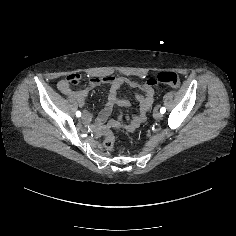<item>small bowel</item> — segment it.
<instances>
[{
    "instance_id": "obj_1",
    "label": "small bowel",
    "mask_w": 236,
    "mask_h": 236,
    "mask_svg": "<svg viewBox=\"0 0 236 236\" xmlns=\"http://www.w3.org/2000/svg\"><path fill=\"white\" fill-rule=\"evenodd\" d=\"M105 79H92L89 83V88L91 87H94V86H97L99 84H101ZM58 87L59 89L66 95H78L80 97H83L85 98L86 95H87V92H88V89L86 90H82V91H73L70 86L67 84L66 80H61L59 83H58ZM149 93H150V98L148 100V102L146 103L145 106H143L141 108V113L144 114L150 107V105L152 104V101H153V92L152 90L150 89L149 90ZM83 104V103H82ZM80 104V105H82ZM128 104V102H126V105ZM136 121H140V119H137Z\"/></svg>"
}]
</instances>
